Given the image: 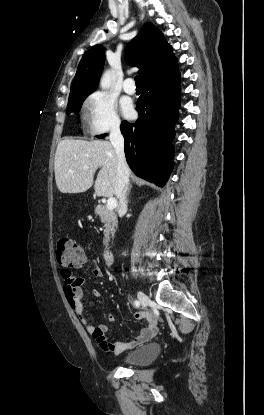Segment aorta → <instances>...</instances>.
I'll return each mask as SVG.
<instances>
[{
  "mask_svg": "<svg viewBox=\"0 0 264 415\" xmlns=\"http://www.w3.org/2000/svg\"><path fill=\"white\" fill-rule=\"evenodd\" d=\"M113 80V72L111 70H107L103 73L101 80H100V87L104 90H107L111 87Z\"/></svg>",
  "mask_w": 264,
  "mask_h": 415,
  "instance_id": "aorta-1",
  "label": "aorta"
}]
</instances>
